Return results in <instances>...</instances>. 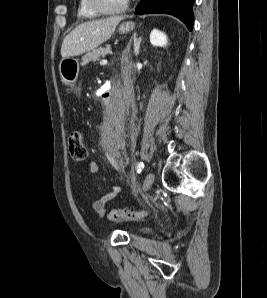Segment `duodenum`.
Returning <instances> with one entry per match:
<instances>
[{
    "label": "duodenum",
    "mask_w": 267,
    "mask_h": 298,
    "mask_svg": "<svg viewBox=\"0 0 267 298\" xmlns=\"http://www.w3.org/2000/svg\"><path fill=\"white\" fill-rule=\"evenodd\" d=\"M113 86H117V85L114 82H111L109 88L103 95V98H102L103 104H98V109H108V105H109L108 98H111L112 93H114Z\"/></svg>",
    "instance_id": "1"
}]
</instances>
